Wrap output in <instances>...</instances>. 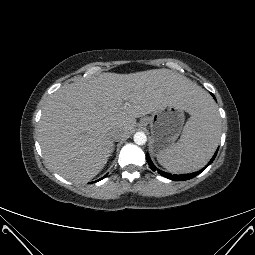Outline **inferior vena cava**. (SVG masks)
Listing matches in <instances>:
<instances>
[{
    "label": "inferior vena cava",
    "mask_w": 255,
    "mask_h": 255,
    "mask_svg": "<svg viewBox=\"0 0 255 255\" xmlns=\"http://www.w3.org/2000/svg\"><path fill=\"white\" fill-rule=\"evenodd\" d=\"M123 138V134L120 131H113L111 133V139L113 141H119Z\"/></svg>",
    "instance_id": "1"
}]
</instances>
